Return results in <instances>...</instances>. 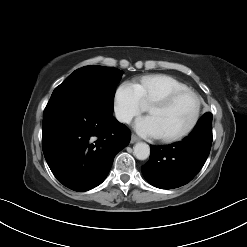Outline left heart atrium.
Here are the masks:
<instances>
[{
    "instance_id": "1",
    "label": "left heart atrium",
    "mask_w": 247,
    "mask_h": 247,
    "mask_svg": "<svg viewBox=\"0 0 247 247\" xmlns=\"http://www.w3.org/2000/svg\"><path fill=\"white\" fill-rule=\"evenodd\" d=\"M134 128L143 137H161V134L156 126L154 119L150 116L138 119L134 124Z\"/></svg>"
}]
</instances>
